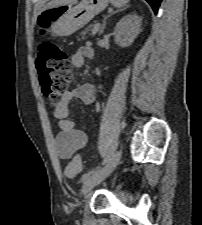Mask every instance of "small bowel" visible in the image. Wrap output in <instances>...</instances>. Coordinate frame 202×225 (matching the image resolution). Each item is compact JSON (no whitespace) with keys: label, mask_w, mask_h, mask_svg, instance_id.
I'll return each mask as SVG.
<instances>
[{"label":"small bowel","mask_w":202,"mask_h":225,"mask_svg":"<svg viewBox=\"0 0 202 225\" xmlns=\"http://www.w3.org/2000/svg\"><path fill=\"white\" fill-rule=\"evenodd\" d=\"M92 56L93 50L89 45L81 46L71 56V63L73 66L80 68L83 66L85 59L91 58ZM97 92V89L89 85H80L66 92L61 101L55 105L53 116L57 120L60 130L55 139V146L60 158L73 159L80 163L79 159L75 157V154L86 145L87 136L84 131L77 127L76 121L69 117V105L74 99L84 104H92L95 101Z\"/></svg>","instance_id":"1"}]
</instances>
